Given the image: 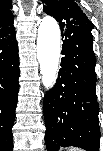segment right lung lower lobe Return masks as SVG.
<instances>
[{
	"mask_svg": "<svg viewBox=\"0 0 103 151\" xmlns=\"http://www.w3.org/2000/svg\"><path fill=\"white\" fill-rule=\"evenodd\" d=\"M19 56L15 29L0 33V149L11 151L19 92Z\"/></svg>",
	"mask_w": 103,
	"mask_h": 151,
	"instance_id": "right-lung-lower-lobe-1",
	"label": "right lung lower lobe"
}]
</instances>
